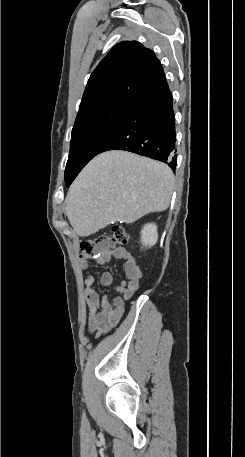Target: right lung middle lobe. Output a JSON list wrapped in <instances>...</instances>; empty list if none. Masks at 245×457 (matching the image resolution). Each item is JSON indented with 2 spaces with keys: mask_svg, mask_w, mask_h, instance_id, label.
Segmentation results:
<instances>
[{
  "mask_svg": "<svg viewBox=\"0 0 245 457\" xmlns=\"http://www.w3.org/2000/svg\"><path fill=\"white\" fill-rule=\"evenodd\" d=\"M130 107L113 104L76 117L65 169L69 186L81 169L97 154L123 121Z\"/></svg>",
  "mask_w": 245,
  "mask_h": 457,
  "instance_id": "1",
  "label": "right lung middle lobe"
}]
</instances>
